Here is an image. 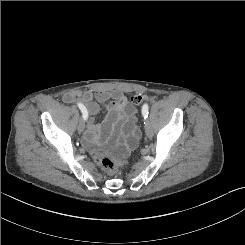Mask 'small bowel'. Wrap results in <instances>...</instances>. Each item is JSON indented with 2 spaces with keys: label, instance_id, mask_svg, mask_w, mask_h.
Segmentation results:
<instances>
[{
  "label": "small bowel",
  "instance_id": "obj_1",
  "mask_svg": "<svg viewBox=\"0 0 245 245\" xmlns=\"http://www.w3.org/2000/svg\"><path fill=\"white\" fill-rule=\"evenodd\" d=\"M80 98L87 106L90 115H96L99 112V103L109 101L106 106L104 120L101 124L96 125L92 120L89 123L86 135L87 144L92 146L97 143V133L103 135L114 129L115 136L121 142L119 152L125 154L133 148L139 137L140 131L136 126V117L131 109L127 97L121 91H86L70 92L65 94L64 101L72 102L74 99Z\"/></svg>",
  "mask_w": 245,
  "mask_h": 245
}]
</instances>
